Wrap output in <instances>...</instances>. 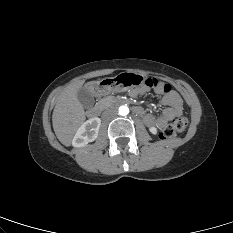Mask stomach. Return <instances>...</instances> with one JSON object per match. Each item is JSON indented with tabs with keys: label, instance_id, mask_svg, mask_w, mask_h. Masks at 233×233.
Instances as JSON below:
<instances>
[{
	"label": "stomach",
	"instance_id": "obj_1",
	"mask_svg": "<svg viewBox=\"0 0 233 233\" xmlns=\"http://www.w3.org/2000/svg\"><path fill=\"white\" fill-rule=\"evenodd\" d=\"M145 80L144 76L133 72L109 75L102 82L93 84L98 96L109 93L124 94L127 90L137 89Z\"/></svg>",
	"mask_w": 233,
	"mask_h": 233
}]
</instances>
